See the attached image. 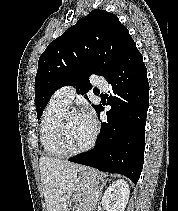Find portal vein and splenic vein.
<instances>
[{"mask_svg":"<svg viewBox=\"0 0 178 211\" xmlns=\"http://www.w3.org/2000/svg\"><path fill=\"white\" fill-rule=\"evenodd\" d=\"M99 194H100V193H99V191H97V192H96V196L98 197V196H99Z\"/></svg>","mask_w":178,"mask_h":211,"instance_id":"18ae733b","label":"portal vein and splenic vein"}]
</instances>
